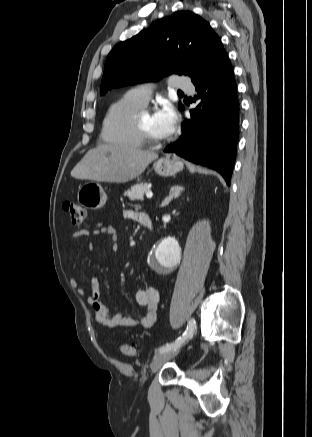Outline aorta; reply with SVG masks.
Segmentation results:
<instances>
[{"label":"aorta","instance_id":"aorta-1","mask_svg":"<svg viewBox=\"0 0 312 437\" xmlns=\"http://www.w3.org/2000/svg\"><path fill=\"white\" fill-rule=\"evenodd\" d=\"M180 247L176 239H163L155 248V268L159 271L174 265L180 259Z\"/></svg>","mask_w":312,"mask_h":437}]
</instances>
